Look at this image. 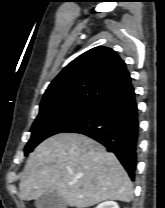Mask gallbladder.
<instances>
[{
  "label": "gallbladder",
  "mask_w": 165,
  "mask_h": 208,
  "mask_svg": "<svg viewBox=\"0 0 165 208\" xmlns=\"http://www.w3.org/2000/svg\"><path fill=\"white\" fill-rule=\"evenodd\" d=\"M37 208H67V203L57 192L45 193L36 199Z\"/></svg>",
  "instance_id": "obj_1"
}]
</instances>
